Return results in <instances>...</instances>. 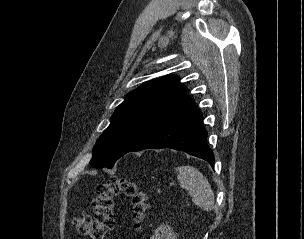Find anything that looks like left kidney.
I'll list each match as a JSON object with an SVG mask.
<instances>
[{"label":"left kidney","instance_id":"left-kidney-1","mask_svg":"<svg viewBox=\"0 0 304 239\" xmlns=\"http://www.w3.org/2000/svg\"><path fill=\"white\" fill-rule=\"evenodd\" d=\"M150 239H177V234L168 224L160 225Z\"/></svg>","mask_w":304,"mask_h":239}]
</instances>
